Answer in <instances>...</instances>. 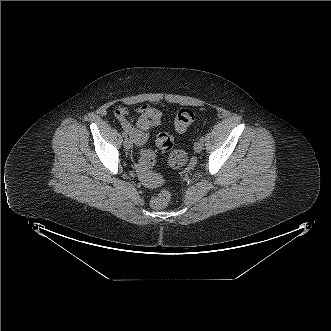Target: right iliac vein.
Instances as JSON below:
<instances>
[{
	"instance_id": "63e3f726",
	"label": "right iliac vein",
	"mask_w": 331,
	"mask_h": 331,
	"mask_svg": "<svg viewBox=\"0 0 331 331\" xmlns=\"http://www.w3.org/2000/svg\"><path fill=\"white\" fill-rule=\"evenodd\" d=\"M123 145L127 150H130L132 148V143L129 138H125Z\"/></svg>"
}]
</instances>
